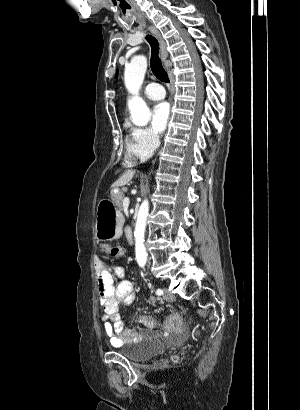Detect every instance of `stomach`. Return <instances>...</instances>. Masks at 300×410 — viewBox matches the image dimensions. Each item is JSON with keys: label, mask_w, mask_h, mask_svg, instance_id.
Instances as JSON below:
<instances>
[{"label": "stomach", "mask_w": 300, "mask_h": 410, "mask_svg": "<svg viewBox=\"0 0 300 410\" xmlns=\"http://www.w3.org/2000/svg\"><path fill=\"white\" fill-rule=\"evenodd\" d=\"M123 215L114 201L101 200L96 212V237L99 241H112L122 235Z\"/></svg>", "instance_id": "stomach-1"}]
</instances>
